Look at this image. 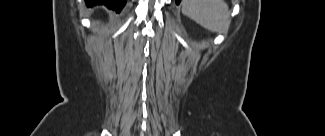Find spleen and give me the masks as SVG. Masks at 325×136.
I'll return each instance as SVG.
<instances>
[{
	"label": "spleen",
	"mask_w": 325,
	"mask_h": 136,
	"mask_svg": "<svg viewBox=\"0 0 325 136\" xmlns=\"http://www.w3.org/2000/svg\"><path fill=\"white\" fill-rule=\"evenodd\" d=\"M182 12L212 32H219L228 24V8L221 0H184Z\"/></svg>",
	"instance_id": "3e777b00"
}]
</instances>
